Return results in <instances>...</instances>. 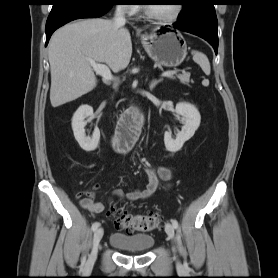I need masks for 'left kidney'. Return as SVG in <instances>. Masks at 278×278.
Wrapping results in <instances>:
<instances>
[{
  "mask_svg": "<svg viewBox=\"0 0 278 278\" xmlns=\"http://www.w3.org/2000/svg\"><path fill=\"white\" fill-rule=\"evenodd\" d=\"M175 112L177 116H182L183 127L176 135V138L171 137V133L165 132L164 144L166 150L169 152L179 151L184 143L193 137L195 131L198 129L201 121V116L197 108L186 102H180L176 105Z\"/></svg>",
  "mask_w": 278,
  "mask_h": 278,
  "instance_id": "1",
  "label": "left kidney"
}]
</instances>
